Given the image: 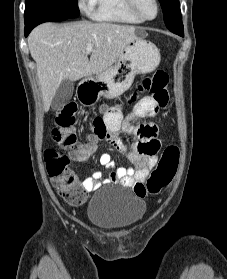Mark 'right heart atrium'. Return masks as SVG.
<instances>
[{
  "mask_svg": "<svg viewBox=\"0 0 227 279\" xmlns=\"http://www.w3.org/2000/svg\"><path fill=\"white\" fill-rule=\"evenodd\" d=\"M84 1H85V0H80V3L82 4ZM87 1H89V0H87Z\"/></svg>",
  "mask_w": 227,
  "mask_h": 279,
  "instance_id": "1",
  "label": "right heart atrium"
}]
</instances>
